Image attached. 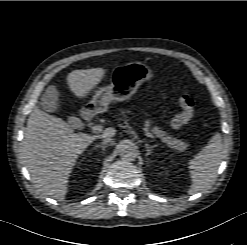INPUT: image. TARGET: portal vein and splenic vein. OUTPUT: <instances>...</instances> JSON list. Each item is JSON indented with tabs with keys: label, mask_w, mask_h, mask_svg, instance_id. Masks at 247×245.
I'll return each instance as SVG.
<instances>
[{
	"label": "portal vein and splenic vein",
	"mask_w": 247,
	"mask_h": 245,
	"mask_svg": "<svg viewBox=\"0 0 247 245\" xmlns=\"http://www.w3.org/2000/svg\"><path fill=\"white\" fill-rule=\"evenodd\" d=\"M145 130V133H146V136L149 137V138H152V139H157L154 135H152L148 130L144 129ZM92 132L93 133H99V132H102V126L101 125H95L92 127Z\"/></svg>",
	"instance_id": "obj_1"
}]
</instances>
